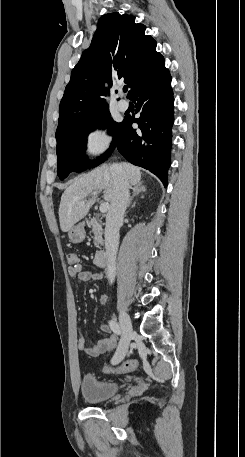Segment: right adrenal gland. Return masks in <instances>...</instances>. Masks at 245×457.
I'll return each mask as SVG.
<instances>
[{
  "mask_svg": "<svg viewBox=\"0 0 245 457\" xmlns=\"http://www.w3.org/2000/svg\"><path fill=\"white\" fill-rule=\"evenodd\" d=\"M145 190H147V188H146V186H144V184H142V182H139V184H137V186H133V194H132V196H130L127 206H130V204H131L134 196H136V194H139V192H145ZM132 206H135V204H132Z\"/></svg>",
  "mask_w": 245,
  "mask_h": 457,
  "instance_id": "obj_1",
  "label": "right adrenal gland"
}]
</instances>
